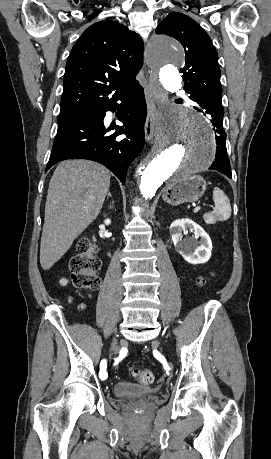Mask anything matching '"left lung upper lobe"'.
<instances>
[{
	"instance_id": "1",
	"label": "left lung upper lobe",
	"mask_w": 271,
	"mask_h": 459,
	"mask_svg": "<svg viewBox=\"0 0 271 459\" xmlns=\"http://www.w3.org/2000/svg\"><path fill=\"white\" fill-rule=\"evenodd\" d=\"M157 34L177 39L185 50L184 90L190 94L209 93L208 106L223 111L222 86L217 51L208 34L183 13L171 12L157 26Z\"/></svg>"
}]
</instances>
